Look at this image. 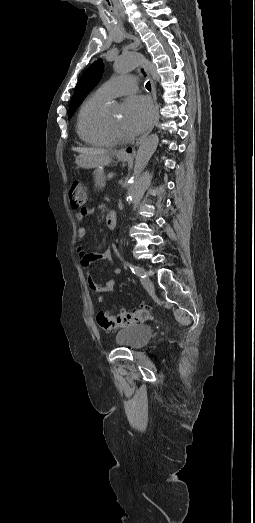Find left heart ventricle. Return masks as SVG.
<instances>
[{"label": "left heart ventricle", "instance_id": "left-heart-ventricle-1", "mask_svg": "<svg viewBox=\"0 0 255 523\" xmlns=\"http://www.w3.org/2000/svg\"><path fill=\"white\" fill-rule=\"evenodd\" d=\"M108 116L114 121V123L116 124L118 130L120 131V133L122 135H124V136L129 135V131H128V129L125 125L124 119H123L122 111L113 112L111 114H108Z\"/></svg>", "mask_w": 255, "mask_h": 523}]
</instances>
